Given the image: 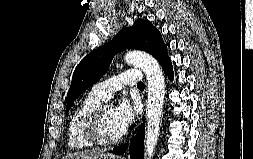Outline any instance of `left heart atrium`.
<instances>
[{
    "mask_svg": "<svg viewBox=\"0 0 253 159\" xmlns=\"http://www.w3.org/2000/svg\"><path fill=\"white\" fill-rule=\"evenodd\" d=\"M138 113L137 105L123 99L115 108L114 115L122 134H124L136 120Z\"/></svg>",
    "mask_w": 253,
    "mask_h": 159,
    "instance_id": "39dd6f15",
    "label": "left heart atrium"
}]
</instances>
